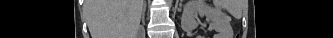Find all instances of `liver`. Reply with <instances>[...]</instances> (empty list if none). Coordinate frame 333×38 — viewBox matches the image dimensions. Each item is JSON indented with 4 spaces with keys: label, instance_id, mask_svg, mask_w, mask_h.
Here are the masks:
<instances>
[{
    "label": "liver",
    "instance_id": "obj_1",
    "mask_svg": "<svg viewBox=\"0 0 333 38\" xmlns=\"http://www.w3.org/2000/svg\"><path fill=\"white\" fill-rule=\"evenodd\" d=\"M144 0H87L92 38H136Z\"/></svg>",
    "mask_w": 333,
    "mask_h": 38
}]
</instances>
